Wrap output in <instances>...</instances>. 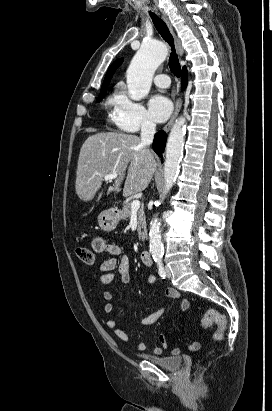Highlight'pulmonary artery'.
Instances as JSON below:
<instances>
[{
    "label": "pulmonary artery",
    "mask_w": 272,
    "mask_h": 411,
    "mask_svg": "<svg viewBox=\"0 0 272 411\" xmlns=\"http://www.w3.org/2000/svg\"><path fill=\"white\" fill-rule=\"evenodd\" d=\"M154 83L159 88H167L170 85V79L167 74H158L154 78Z\"/></svg>",
    "instance_id": "e3ab8cb5"
}]
</instances>
